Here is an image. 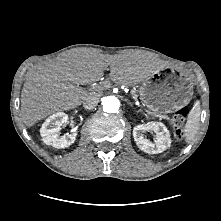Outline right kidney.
<instances>
[{"instance_id": "obj_1", "label": "right kidney", "mask_w": 221, "mask_h": 221, "mask_svg": "<svg viewBox=\"0 0 221 221\" xmlns=\"http://www.w3.org/2000/svg\"><path fill=\"white\" fill-rule=\"evenodd\" d=\"M68 121V115L64 112H57L48 117L40 129L41 137L47 145L55 148L69 147L75 142L77 129H72V133L59 136L60 126ZM73 123V122H72Z\"/></svg>"}]
</instances>
